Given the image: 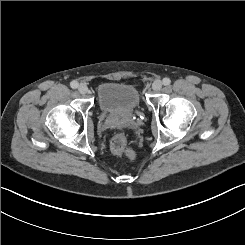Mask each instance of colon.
Here are the masks:
<instances>
[{
    "label": "colon",
    "mask_w": 245,
    "mask_h": 245,
    "mask_svg": "<svg viewBox=\"0 0 245 245\" xmlns=\"http://www.w3.org/2000/svg\"><path fill=\"white\" fill-rule=\"evenodd\" d=\"M113 153L122 155L127 153V138L124 133H117L110 142Z\"/></svg>",
    "instance_id": "obj_1"
}]
</instances>
